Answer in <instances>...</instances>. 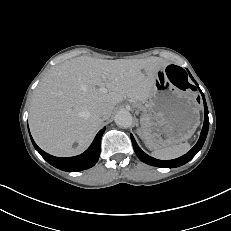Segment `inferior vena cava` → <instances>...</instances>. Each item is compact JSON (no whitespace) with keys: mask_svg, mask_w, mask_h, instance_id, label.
Wrapping results in <instances>:
<instances>
[{"mask_svg":"<svg viewBox=\"0 0 231 231\" xmlns=\"http://www.w3.org/2000/svg\"><path fill=\"white\" fill-rule=\"evenodd\" d=\"M98 116L101 117L102 119H108L110 117V113L108 110L106 109H101L98 112Z\"/></svg>","mask_w":231,"mask_h":231,"instance_id":"inferior-vena-cava-1","label":"inferior vena cava"}]
</instances>
